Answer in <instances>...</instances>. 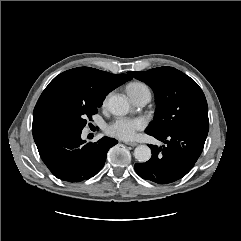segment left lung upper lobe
Returning a JSON list of instances; mask_svg holds the SVG:
<instances>
[{"instance_id": "obj_1", "label": "left lung upper lobe", "mask_w": 241, "mask_h": 241, "mask_svg": "<svg viewBox=\"0 0 241 241\" xmlns=\"http://www.w3.org/2000/svg\"><path fill=\"white\" fill-rule=\"evenodd\" d=\"M129 74L145 82L155 93L157 110L147 132L166 134L196 124H209L205 95L183 72L159 67Z\"/></svg>"}]
</instances>
